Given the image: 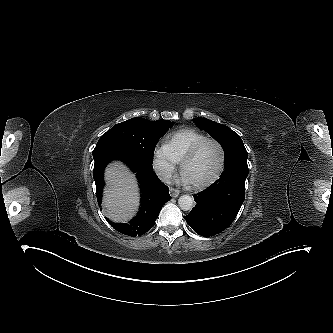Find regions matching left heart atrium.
Here are the masks:
<instances>
[{
    "label": "left heart atrium",
    "instance_id": "1",
    "mask_svg": "<svg viewBox=\"0 0 333 333\" xmlns=\"http://www.w3.org/2000/svg\"><path fill=\"white\" fill-rule=\"evenodd\" d=\"M182 181L185 184H189L190 183V180L188 179V177L186 176V174L184 172L182 173Z\"/></svg>",
    "mask_w": 333,
    "mask_h": 333
}]
</instances>
